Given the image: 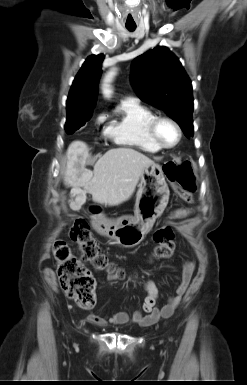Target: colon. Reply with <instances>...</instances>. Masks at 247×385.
I'll use <instances>...</instances> for the list:
<instances>
[{"mask_svg": "<svg viewBox=\"0 0 247 385\" xmlns=\"http://www.w3.org/2000/svg\"><path fill=\"white\" fill-rule=\"evenodd\" d=\"M163 171L175 192L186 201H192V195L196 190V178L191 163L184 161L178 165L169 161L164 164ZM181 214V209H177L169 218H178ZM69 236L79 245L82 256L79 258L73 254L65 241L55 242L53 252L59 284L66 296L80 308L91 309L96 303V282L83 261L89 262L96 271H107L117 277H122L123 271L102 252L85 220H75L69 227ZM153 238L156 243L153 257L170 258L175 250V237L171 226L168 223L163 224L155 231Z\"/></svg>", "mask_w": 247, "mask_h": 385, "instance_id": "1", "label": "colon"}]
</instances>
